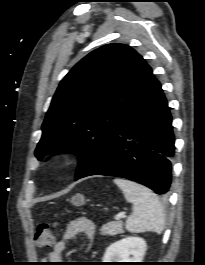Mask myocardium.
Segmentation results:
<instances>
[{"label":"myocardium","instance_id":"1","mask_svg":"<svg viewBox=\"0 0 205 265\" xmlns=\"http://www.w3.org/2000/svg\"><path fill=\"white\" fill-rule=\"evenodd\" d=\"M74 159V152L71 150H65L63 151L59 157H58V163L60 165H68L70 164Z\"/></svg>","mask_w":205,"mask_h":265}]
</instances>
